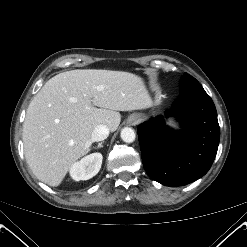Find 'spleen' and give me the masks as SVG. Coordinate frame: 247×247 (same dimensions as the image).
Instances as JSON below:
<instances>
[{
  "instance_id": "3e777b00",
  "label": "spleen",
  "mask_w": 247,
  "mask_h": 247,
  "mask_svg": "<svg viewBox=\"0 0 247 247\" xmlns=\"http://www.w3.org/2000/svg\"><path fill=\"white\" fill-rule=\"evenodd\" d=\"M169 124L172 125V126L174 125L172 122H170Z\"/></svg>"
}]
</instances>
